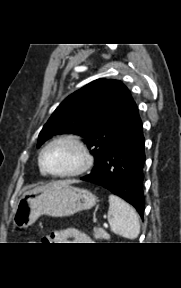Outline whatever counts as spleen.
Returning <instances> with one entry per match:
<instances>
[{"mask_svg":"<svg viewBox=\"0 0 181 288\" xmlns=\"http://www.w3.org/2000/svg\"><path fill=\"white\" fill-rule=\"evenodd\" d=\"M108 222L111 231L128 239L140 233L139 217L128 203L115 195H109Z\"/></svg>","mask_w":181,"mask_h":288,"instance_id":"3e777b00","label":"spleen"}]
</instances>
